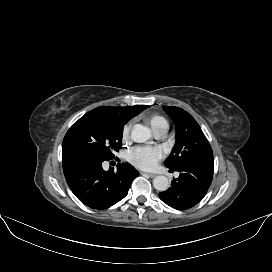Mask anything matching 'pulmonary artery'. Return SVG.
I'll return each instance as SVG.
<instances>
[{
	"instance_id": "1",
	"label": "pulmonary artery",
	"mask_w": 272,
	"mask_h": 272,
	"mask_svg": "<svg viewBox=\"0 0 272 272\" xmlns=\"http://www.w3.org/2000/svg\"><path fill=\"white\" fill-rule=\"evenodd\" d=\"M165 134H166V131L155 132V136H156L157 138H162V137L165 136Z\"/></svg>"
}]
</instances>
